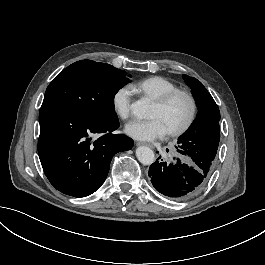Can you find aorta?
Instances as JSON below:
<instances>
[{"instance_id":"aorta-1","label":"aorta","mask_w":265,"mask_h":265,"mask_svg":"<svg viewBox=\"0 0 265 265\" xmlns=\"http://www.w3.org/2000/svg\"><path fill=\"white\" fill-rule=\"evenodd\" d=\"M133 116L138 119H147L150 117V103L147 99L137 100L130 105ZM136 156L140 163L150 166L155 162V154L148 147H140L136 150Z\"/></svg>"}]
</instances>
